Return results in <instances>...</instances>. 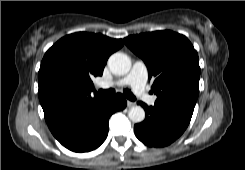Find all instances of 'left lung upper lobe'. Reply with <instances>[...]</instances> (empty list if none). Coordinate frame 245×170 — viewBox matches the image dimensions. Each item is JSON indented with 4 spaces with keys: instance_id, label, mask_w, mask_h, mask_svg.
Returning a JSON list of instances; mask_svg holds the SVG:
<instances>
[{
    "instance_id": "left-lung-upper-lobe-1",
    "label": "left lung upper lobe",
    "mask_w": 245,
    "mask_h": 170,
    "mask_svg": "<svg viewBox=\"0 0 245 170\" xmlns=\"http://www.w3.org/2000/svg\"><path fill=\"white\" fill-rule=\"evenodd\" d=\"M145 62L156 103L194 110L199 94V58L191 42L169 30L142 33L124 39Z\"/></svg>"
}]
</instances>
